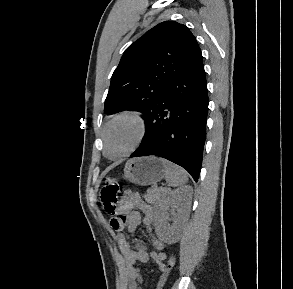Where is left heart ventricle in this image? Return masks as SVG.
Returning <instances> with one entry per match:
<instances>
[{
  "label": "left heart ventricle",
  "instance_id": "obj_1",
  "mask_svg": "<svg viewBox=\"0 0 293 289\" xmlns=\"http://www.w3.org/2000/svg\"><path fill=\"white\" fill-rule=\"evenodd\" d=\"M136 138V126L127 119L116 121L107 135V153L109 156H119L124 153Z\"/></svg>",
  "mask_w": 293,
  "mask_h": 289
}]
</instances>
